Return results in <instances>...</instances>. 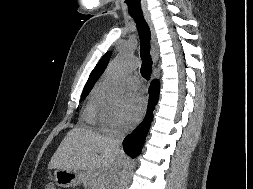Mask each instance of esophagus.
Here are the masks:
<instances>
[{"instance_id":"1","label":"esophagus","mask_w":253,"mask_h":189,"mask_svg":"<svg viewBox=\"0 0 253 189\" xmlns=\"http://www.w3.org/2000/svg\"><path fill=\"white\" fill-rule=\"evenodd\" d=\"M151 32V55L153 58L154 63L157 62L158 60V54H159V49H158V42H157V36H156V31L153 25V22L150 18L149 15L144 16Z\"/></svg>"}]
</instances>
